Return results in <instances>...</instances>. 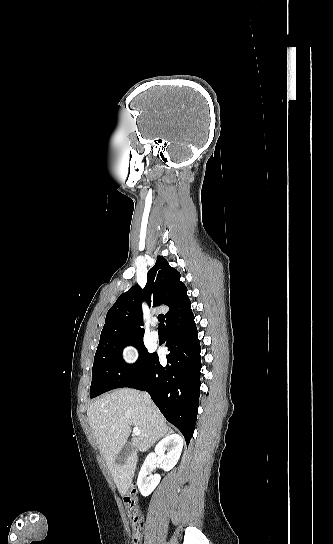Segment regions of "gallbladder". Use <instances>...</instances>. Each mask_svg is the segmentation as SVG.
<instances>
[{
  "label": "gallbladder",
  "instance_id": "1",
  "mask_svg": "<svg viewBox=\"0 0 333 544\" xmlns=\"http://www.w3.org/2000/svg\"><path fill=\"white\" fill-rule=\"evenodd\" d=\"M134 447L130 441L126 442L116 456V463L123 464L133 453Z\"/></svg>",
  "mask_w": 333,
  "mask_h": 544
}]
</instances>
